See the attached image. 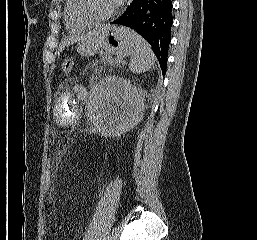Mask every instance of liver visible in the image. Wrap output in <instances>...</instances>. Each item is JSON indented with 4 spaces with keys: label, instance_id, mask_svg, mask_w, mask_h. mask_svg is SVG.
<instances>
[{
    "label": "liver",
    "instance_id": "obj_1",
    "mask_svg": "<svg viewBox=\"0 0 257 240\" xmlns=\"http://www.w3.org/2000/svg\"><path fill=\"white\" fill-rule=\"evenodd\" d=\"M104 26L105 25H99V26H96L94 30L89 31L86 34L74 35V36L64 39L60 46V51L64 50L65 47H67L69 45H73L74 43L84 42L88 39L98 36L101 33V31H103Z\"/></svg>",
    "mask_w": 257,
    "mask_h": 240
}]
</instances>
